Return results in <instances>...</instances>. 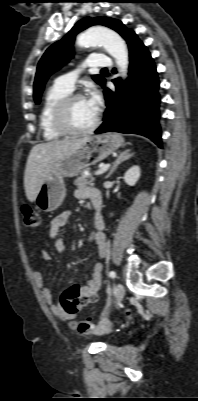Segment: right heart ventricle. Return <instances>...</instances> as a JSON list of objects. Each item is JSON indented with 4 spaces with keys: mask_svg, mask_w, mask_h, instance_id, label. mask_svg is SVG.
Masks as SVG:
<instances>
[{
    "mask_svg": "<svg viewBox=\"0 0 198 401\" xmlns=\"http://www.w3.org/2000/svg\"><path fill=\"white\" fill-rule=\"evenodd\" d=\"M70 92L53 85L45 94L41 112H40V129L44 139L52 141L62 138L64 135L59 132L53 123V114L58 102L68 95Z\"/></svg>",
    "mask_w": 198,
    "mask_h": 401,
    "instance_id": "obj_1",
    "label": "right heart ventricle"
}]
</instances>
